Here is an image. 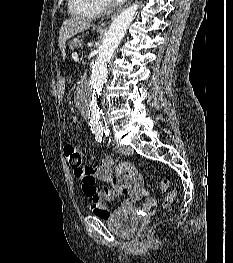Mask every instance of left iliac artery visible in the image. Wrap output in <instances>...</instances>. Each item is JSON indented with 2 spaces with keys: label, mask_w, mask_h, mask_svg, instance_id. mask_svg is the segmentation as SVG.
I'll return each instance as SVG.
<instances>
[{
  "label": "left iliac artery",
  "mask_w": 233,
  "mask_h": 263,
  "mask_svg": "<svg viewBox=\"0 0 233 263\" xmlns=\"http://www.w3.org/2000/svg\"><path fill=\"white\" fill-rule=\"evenodd\" d=\"M105 135L106 136H109V132L107 131V132H105ZM111 142V139L109 138V143Z\"/></svg>",
  "instance_id": "44dca946"
}]
</instances>
